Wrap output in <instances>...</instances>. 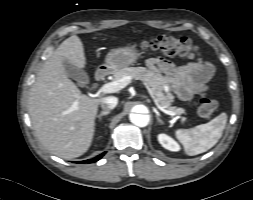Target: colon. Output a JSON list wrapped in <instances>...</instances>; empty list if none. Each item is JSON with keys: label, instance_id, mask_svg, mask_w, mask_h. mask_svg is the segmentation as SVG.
Instances as JSON below:
<instances>
[{"label": "colon", "instance_id": "1", "mask_svg": "<svg viewBox=\"0 0 253 200\" xmlns=\"http://www.w3.org/2000/svg\"><path fill=\"white\" fill-rule=\"evenodd\" d=\"M141 46L143 49L158 51L166 56H181L193 59L197 55L196 45L186 37L160 35L143 41ZM217 107L215 100L211 99L207 94L201 95L198 113L202 118H211Z\"/></svg>", "mask_w": 253, "mask_h": 200}]
</instances>
